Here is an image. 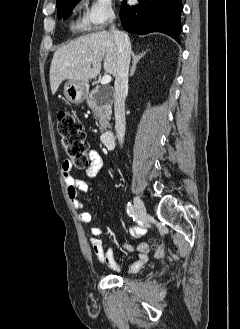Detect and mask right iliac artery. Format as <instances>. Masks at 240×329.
Returning a JSON list of instances; mask_svg holds the SVG:
<instances>
[{"label":"right iliac artery","mask_w":240,"mask_h":329,"mask_svg":"<svg viewBox=\"0 0 240 329\" xmlns=\"http://www.w3.org/2000/svg\"><path fill=\"white\" fill-rule=\"evenodd\" d=\"M126 208H127L128 215L129 216H133V214H134V208H133V206L131 205L130 202L127 204V207Z\"/></svg>","instance_id":"obj_1"}]
</instances>
